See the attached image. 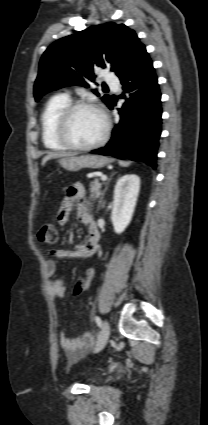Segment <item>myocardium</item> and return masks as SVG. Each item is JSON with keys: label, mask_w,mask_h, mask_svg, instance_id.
<instances>
[{"label": "myocardium", "mask_w": 208, "mask_h": 425, "mask_svg": "<svg viewBox=\"0 0 208 425\" xmlns=\"http://www.w3.org/2000/svg\"><path fill=\"white\" fill-rule=\"evenodd\" d=\"M80 109H90L98 112L103 121H104V130L100 138L94 143L88 145H79L75 143L69 134L70 124L73 118V115L76 111ZM110 133V120L106 112L99 107L98 105L86 102V101H76L71 102L59 115L56 126V137L57 140L64 145L67 149L74 151H90L95 148H98L106 143Z\"/></svg>", "instance_id": "obj_1"}]
</instances>
